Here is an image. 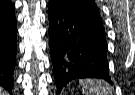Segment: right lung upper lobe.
Listing matches in <instances>:
<instances>
[{
    "label": "right lung upper lobe",
    "mask_w": 135,
    "mask_h": 95,
    "mask_svg": "<svg viewBox=\"0 0 135 95\" xmlns=\"http://www.w3.org/2000/svg\"><path fill=\"white\" fill-rule=\"evenodd\" d=\"M14 5L10 0H0V17L13 15Z\"/></svg>",
    "instance_id": "cb5924a9"
}]
</instances>
